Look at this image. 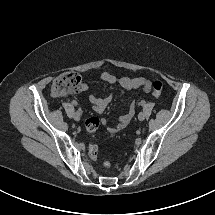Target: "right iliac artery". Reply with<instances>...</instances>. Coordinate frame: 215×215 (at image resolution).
<instances>
[{
  "instance_id": "right-iliac-artery-1",
  "label": "right iliac artery",
  "mask_w": 215,
  "mask_h": 215,
  "mask_svg": "<svg viewBox=\"0 0 215 215\" xmlns=\"http://www.w3.org/2000/svg\"><path fill=\"white\" fill-rule=\"evenodd\" d=\"M73 105H75V106H76V102H73ZM77 112H79V111H77Z\"/></svg>"
}]
</instances>
